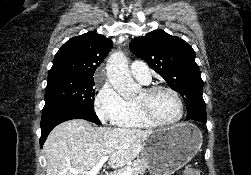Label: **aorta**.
I'll use <instances>...</instances> for the list:
<instances>
[{
  "label": "aorta",
  "mask_w": 251,
  "mask_h": 175,
  "mask_svg": "<svg viewBox=\"0 0 251 175\" xmlns=\"http://www.w3.org/2000/svg\"><path fill=\"white\" fill-rule=\"evenodd\" d=\"M106 72L111 86L123 97L133 95L136 89L140 88V84L134 82L129 72L127 58L123 52H116L110 56L106 64Z\"/></svg>",
  "instance_id": "obj_1"
}]
</instances>
